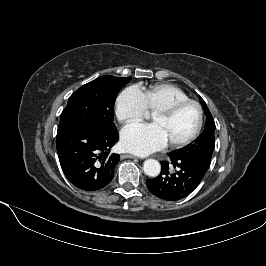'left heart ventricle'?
<instances>
[{
	"label": "left heart ventricle",
	"instance_id": "b2bd125f",
	"mask_svg": "<svg viewBox=\"0 0 266 266\" xmlns=\"http://www.w3.org/2000/svg\"><path fill=\"white\" fill-rule=\"evenodd\" d=\"M198 120L197 109L193 105H187L168 117H153L167 142L179 141L186 138L194 130Z\"/></svg>",
	"mask_w": 266,
	"mask_h": 266
}]
</instances>
